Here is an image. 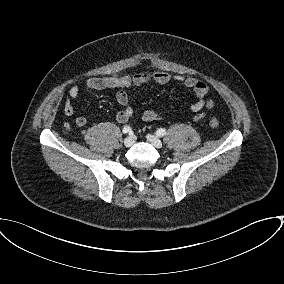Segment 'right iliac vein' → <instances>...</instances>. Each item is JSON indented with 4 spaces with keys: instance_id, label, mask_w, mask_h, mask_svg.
Returning <instances> with one entry per match:
<instances>
[{
    "instance_id": "1",
    "label": "right iliac vein",
    "mask_w": 284,
    "mask_h": 284,
    "mask_svg": "<svg viewBox=\"0 0 284 284\" xmlns=\"http://www.w3.org/2000/svg\"><path fill=\"white\" fill-rule=\"evenodd\" d=\"M135 143V137L133 135L128 136L124 139V145L126 147H131Z\"/></svg>"
}]
</instances>
